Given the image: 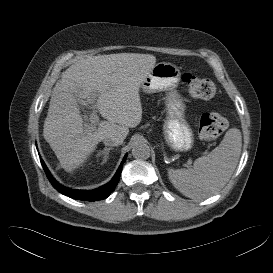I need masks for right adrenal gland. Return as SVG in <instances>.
Returning a JSON list of instances; mask_svg holds the SVG:
<instances>
[{"label":"right adrenal gland","mask_w":273,"mask_h":273,"mask_svg":"<svg viewBox=\"0 0 273 273\" xmlns=\"http://www.w3.org/2000/svg\"><path fill=\"white\" fill-rule=\"evenodd\" d=\"M112 149H113V147H106V148H104V150L98 152V156L104 155V159H103L102 164L105 163V162H107V160H108V158H109V152H110V150H112Z\"/></svg>","instance_id":"right-adrenal-gland-1"}]
</instances>
